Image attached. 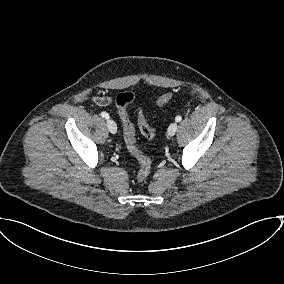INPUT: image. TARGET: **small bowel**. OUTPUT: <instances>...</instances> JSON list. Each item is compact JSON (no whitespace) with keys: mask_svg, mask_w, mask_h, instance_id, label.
<instances>
[{"mask_svg":"<svg viewBox=\"0 0 284 284\" xmlns=\"http://www.w3.org/2000/svg\"><path fill=\"white\" fill-rule=\"evenodd\" d=\"M93 101L99 106H107L113 101V99L107 95H96L93 97Z\"/></svg>","mask_w":284,"mask_h":284,"instance_id":"c3829d8e","label":"small bowel"}]
</instances>
